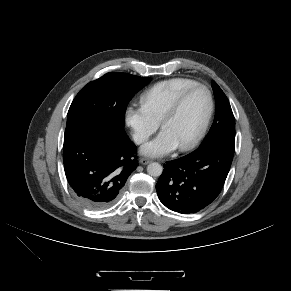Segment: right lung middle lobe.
<instances>
[{
    "mask_svg": "<svg viewBox=\"0 0 291 291\" xmlns=\"http://www.w3.org/2000/svg\"><path fill=\"white\" fill-rule=\"evenodd\" d=\"M150 80L151 78L111 72L88 83L73 100L66 126L96 122L124 127V115L129 101Z\"/></svg>",
    "mask_w": 291,
    "mask_h": 291,
    "instance_id": "obj_1",
    "label": "right lung middle lobe"
}]
</instances>
